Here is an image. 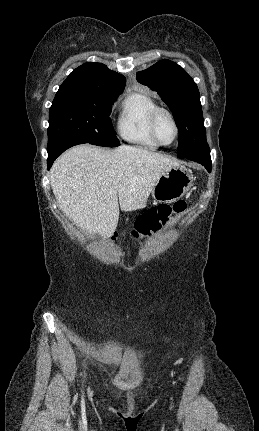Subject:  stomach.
Instances as JSON below:
<instances>
[{"label":"stomach","instance_id":"stomach-1","mask_svg":"<svg viewBox=\"0 0 259 431\" xmlns=\"http://www.w3.org/2000/svg\"><path fill=\"white\" fill-rule=\"evenodd\" d=\"M193 186V176L181 165L169 168L152 189L155 201L170 203L183 197Z\"/></svg>","mask_w":259,"mask_h":431}]
</instances>
